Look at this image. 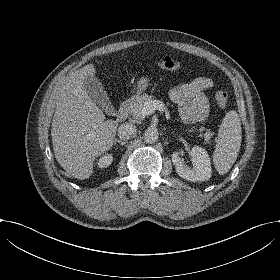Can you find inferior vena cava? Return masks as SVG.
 Returning <instances> with one entry per match:
<instances>
[{
	"label": "inferior vena cava",
	"mask_w": 280,
	"mask_h": 280,
	"mask_svg": "<svg viewBox=\"0 0 280 280\" xmlns=\"http://www.w3.org/2000/svg\"><path fill=\"white\" fill-rule=\"evenodd\" d=\"M136 132V126L131 123H124L118 128V136L122 140L131 138Z\"/></svg>",
	"instance_id": "obj_1"
}]
</instances>
